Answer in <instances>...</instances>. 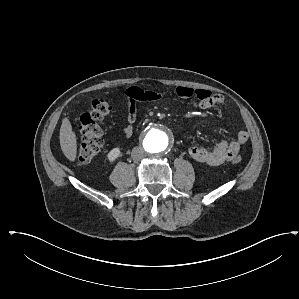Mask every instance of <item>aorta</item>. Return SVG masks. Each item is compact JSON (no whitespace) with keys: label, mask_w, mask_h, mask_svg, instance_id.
I'll return each instance as SVG.
<instances>
[{"label":"aorta","mask_w":299,"mask_h":299,"mask_svg":"<svg viewBox=\"0 0 299 299\" xmlns=\"http://www.w3.org/2000/svg\"><path fill=\"white\" fill-rule=\"evenodd\" d=\"M145 151L152 155H160L169 147V137L165 131L160 128H151L143 139Z\"/></svg>","instance_id":"762f6f07"}]
</instances>
